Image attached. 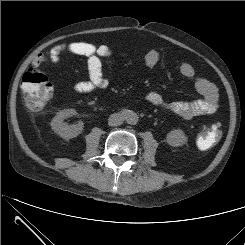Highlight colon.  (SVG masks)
<instances>
[{
    "label": "colon",
    "instance_id": "5ec220e1",
    "mask_svg": "<svg viewBox=\"0 0 245 245\" xmlns=\"http://www.w3.org/2000/svg\"><path fill=\"white\" fill-rule=\"evenodd\" d=\"M23 101L26 107L32 111L40 110L53 95V85L48 76L34 68H29L22 78ZM221 138L219 125L205 126L197 138V144L201 149L214 146Z\"/></svg>",
    "mask_w": 245,
    "mask_h": 245
}]
</instances>
